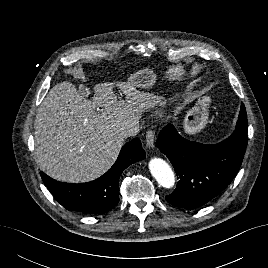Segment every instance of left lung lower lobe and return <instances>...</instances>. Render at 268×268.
Returning <instances> with one entry per match:
<instances>
[{"label": "left lung lower lobe", "instance_id": "left-lung-lower-lobe-1", "mask_svg": "<svg viewBox=\"0 0 268 268\" xmlns=\"http://www.w3.org/2000/svg\"><path fill=\"white\" fill-rule=\"evenodd\" d=\"M245 134L247 128L239 126L224 141L206 145L186 140L172 124L166 125L158 136L157 147L180 179L166 200L179 208H198L223 191L243 161L248 142L242 139Z\"/></svg>", "mask_w": 268, "mask_h": 268}]
</instances>
